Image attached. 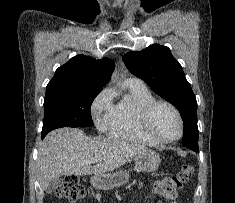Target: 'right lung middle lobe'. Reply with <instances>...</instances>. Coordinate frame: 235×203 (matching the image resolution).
I'll list each match as a JSON object with an SVG mask.
<instances>
[{
  "label": "right lung middle lobe",
  "mask_w": 235,
  "mask_h": 203,
  "mask_svg": "<svg viewBox=\"0 0 235 203\" xmlns=\"http://www.w3.org/2000/svg\"><path fill=\"white\" fill-rule=\"evenodd\" d=\"M100 91L89 86L46 88L42 134L60 127L93 126L90 107Z\"/></svg>",
  "instance_id": "right-lung-middle-lobe-1"
}]
</instances>
